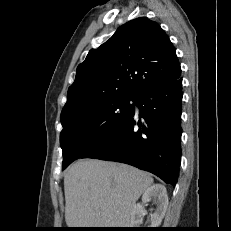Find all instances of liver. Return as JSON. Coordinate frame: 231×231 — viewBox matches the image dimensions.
Returning <instances> with one entry per match:
<instances>
[{"mask_svg":"<svg viewBox=\"0 0 231 231\" xmlns=\"http://www.w3.org/2000/svg\"><path fill=\"white\" fill-rule=\"evenodd\" d=\"M153 184L150 174L126 164L79 160L64 175L69 228H128L139 197Z\"/></svg>","mask_w":231,"mask_h":231,"instance_id":"6515ba94","label":"liver"}]
</instances>
